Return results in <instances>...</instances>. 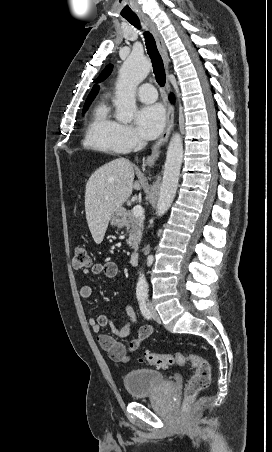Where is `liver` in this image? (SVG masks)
I'll return each mask as SVG.
<instances>
[{
  "label": "liver",
  "mask_w": 272,
  "mask_h": 452,
  "mask_svg": "<svg viewBox=\"0 0 272 452\" xmlns=\"http://www.w3.org/2000/svg\"><path fill=\"white\" fill-rule=\"evenodd\" d=\"M133 180V165L125 158L101 166L90 176L86 184L85 211L96 244L103 241L111 215L132 194Z\"/></svg>",
  "instance_id": "liver-1"
}]
</instances>
